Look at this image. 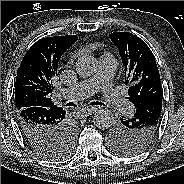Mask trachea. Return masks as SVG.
I'll use <instances>...</instances> for the list:
<instances>
[{"mask_svg":"<svg viewBox=\"0 0 184 184\" xmlns=\"http://www.w3.org/2000/svg\"><path fill=\"white\" fill-rule=\"evenodd\" d=\"M67 106H75V103L73 102H69L66 104ZM91 105H96V106H104V103L102 102H98V101H94V102H91Z\"/></svg>","mask_w":184,"mask_h":184,"instance_id":"3493384b","label":"trachea"}]
</instances>
